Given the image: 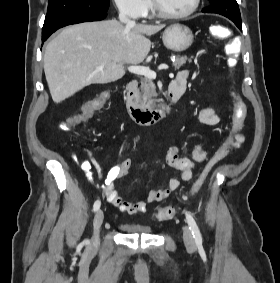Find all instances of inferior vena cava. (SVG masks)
I'll return each instance as SVG.
<instances>
[{
	"instance_id": "1",
	"label": "inferior vena cava",
	"mask_w": 280,
	"mask_h": 283,
	"mask_svg": "<svg viewBox=\"0 0 280 283\" xmlns=\"http://www.w3.org/2000/svg\"><path fill=\"white\" fill-rule=\"evenodd\" d=\"M119 20L121 23H124L126 24L127 26H133L135 25V22L132 21L129 16L127 15L126 11L124 10H120V13H119Z\"/></svg>"
}]
</instances>
